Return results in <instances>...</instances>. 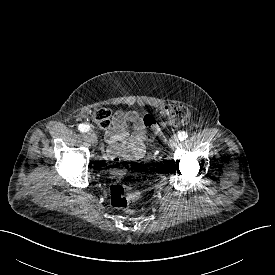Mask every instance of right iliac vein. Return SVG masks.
<instances>
[{"instance_id":"63e3f726","label":"right iliac vein","mask_w":275,"mask_h":275,"mask_svg":"<svg viewBox=\"0 0 275 275\" xmlns=\"http://www.w3.org/2000/svg\"><path fill=\"white\" fill-rule=\"evenodd\" d=\"M88 135H89V138H90L92 144H96V142H97V136H96V134L93 131H90L88 133Z\"/></svg>"}]
</instances>
